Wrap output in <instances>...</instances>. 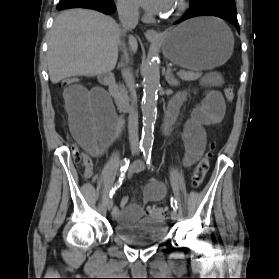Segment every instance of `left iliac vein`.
Listing matches in <instances>:
<instances>
[{
	"label": "left iliac vein",
	"instance_id": "obj_1",
	"mask_svg": "<svg viewBox=\"0 0 279 279\" xmlns=\"http://www.w3.org/2000/svg\"><path fill=\"white\" fill-rule=\"evenodd\" d=\"M177 217H178L177 212L175 210H172L171 211V219L173 221H175V220H177Z\"/></svg>",
	"mask_w": 279,
	"mask_h": 279
}]
</instances>
